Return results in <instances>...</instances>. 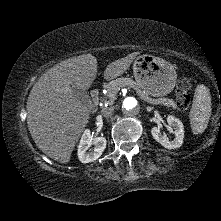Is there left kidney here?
<instances>
[{
  "mask_svg": "<svg viewBox=\"0 0 221 221\" xmlns=\"http://www.w3.org/2000/svg\"><path fill=\"white\" fill-rule=\"evenodd\" d=\"M167 123L172 128L175 135V139L169 140L168 137L161 132V128L153 127L151 134L153 138L167 149H176L181 147L184 139V127L183 123L176 117L169 115L167 117Z\"/></svg>",
  "mask_w": 221,
  "mask_h": 221,
  "instance_id": "5707ae66",
  "label": "left kidney"
}]
</instances>
